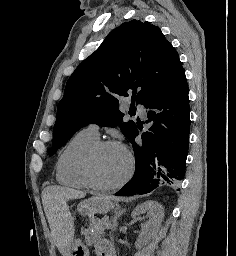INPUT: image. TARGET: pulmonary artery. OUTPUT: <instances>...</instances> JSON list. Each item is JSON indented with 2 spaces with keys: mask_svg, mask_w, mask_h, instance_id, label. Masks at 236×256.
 I'll return each mask as SVG.
<instances>
[{
  "mask_svg": "<svg viewBox=\"0 0 236 256\" xmlns=\"http://www.w3.org/2000/svg\"><path fill=\"white\" fill-rule=\"evenodd\" d=\"M137 110L141 117L145 118L147 116V109L144 105H138ZM84 130L91 136L99 139V129L96 125H88Z\"/></svg>",
  "mask_w": 236,
  "mask_h": 256,
  "instance_id": "obj_1",
  "label": "pulmonary artery"
}]
</instances>
